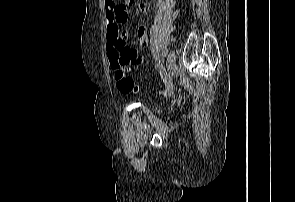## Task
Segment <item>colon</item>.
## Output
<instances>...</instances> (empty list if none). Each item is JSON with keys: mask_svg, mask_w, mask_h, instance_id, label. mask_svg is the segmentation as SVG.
<instances>
[{"mask_svg": "<svg viewBox=\"0 0 295 202\" xmlns=\"http://www.w3.org/2000/svg\"><path fill=\"white\" fill-rule=\"evenodd\" d=\"M118 90L123 94H131L136 91V84L130 74V66L127 62L115 63L113 67Z\"/></svg>", "mask_w": 295, "mask_h": 202, "instance_id": "colon-1", "label": "colon"}]
</instances>
